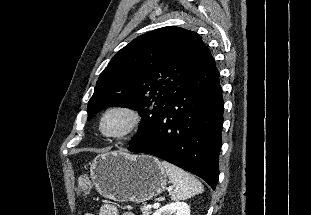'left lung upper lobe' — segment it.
Listing matches in <instances>:
<instances>
[{
    "label": "left lung upper lobe",
    "instance_id": "1",
    "mask_svg": "<svg viewBox=\"0 0 311 215\" xmlns=\"http://www.w3.org/2000/svg\"><path fill=\"white\" fill-rule=\"evenodd\" d=\"M204 46L198 34L175 26L135 38L100 74L88 103V120L107 106L138 111L142 121L129 142L134 144L191 71Z\"/></svg>",
    "mask_w": 311,
    "mask_h": 215
}]
</instances>
